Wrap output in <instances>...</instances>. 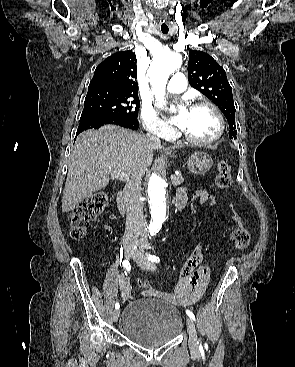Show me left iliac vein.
<instances>
[{
	"instance_id": "obj_1",
	"label": "left iliac vein",
	"mask_w": 295,
	"mask_h": 367,
	"mask_svg": "<svg viewBox=\"0 0 295 367\" xmlns=\"http://www.w3.org/2000/svg\"><path fill=\"white\" fill-rule=\"evenodd\" d=\"M133 259L135 262L146 271H154L156 269V265L149 260L147 261L138 251H134ZM187 330L189 334V347L193 354L199 353V343L196 333V327L193 322V319L187 318Z\"/></svg>"
}]
</instances>
